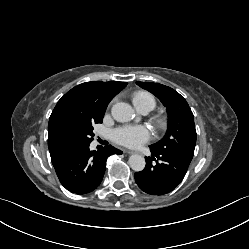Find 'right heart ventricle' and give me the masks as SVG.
<instances>
[{
	"label": "right heart ventricle",
	"instance_id": "obj_1",
	"mask_svg": "<svg viewBox=\"0 0 249 249\" xmlns=\"http://www.w3.org/2000/svg\"><path fill=\"white\" fill-rule=\"evenodd\" d=\"M132 101L138 110L146 107H150L151 109H153L156 104L154 97L146 92H138L134 94Z\"/></svg>",
	"mask_w": 249,
	"mask_h": 249
}]
</instances>
